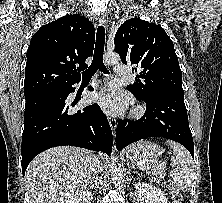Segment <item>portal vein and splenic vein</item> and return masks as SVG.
<instances>
[{
  "mask_svg": "<svg viewBox=\"0 0 222 203\" xmlns=\"http://www.w3.org/2000/svg\"><path fill=\"white\" fill-rule=\"evenodd\" d=\"M145 163L144 162H141V163H138L137 165L138 166H143Z\"/></svg>",
  "mask_w": 222,
  "mask_h": 203,
  "instance_id": "portal-vein-and-splenic-vein-1",
  "label": "portal vein and splenic vein"
}]
</instances>
